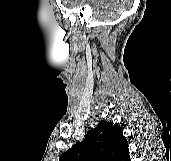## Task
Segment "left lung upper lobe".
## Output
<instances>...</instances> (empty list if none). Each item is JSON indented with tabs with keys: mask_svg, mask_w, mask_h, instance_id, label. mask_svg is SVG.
Returning a JSON list of instances; mask_svg holds the SVG:
<instances>
[{
	"mask_svg": "<svg viewBox=\"0 0 171 161\" xmlns=\"http://www.w3.org/2000/svg\"><path fill=\"white\" fill-rule=\"evenodd\" d=\"M59 161H130L128 141L120 125L102 122Z\"/></svg>",
	"mask_w": 171,
	"mask_h": 161,
	"instance_id": "5c2ea615",
	"label": "left lung upper lobe"
}]
</instances>
